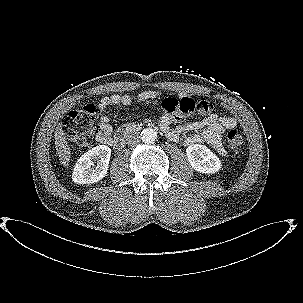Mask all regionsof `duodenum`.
<instances>
[{"instance_id":"duodenum-1","label":"duodenum","mask_w":303,"mask_h":303,"mask_svg":"<svg viewBox=\"0 0 303 303\" xmlns=\"http://www.w3.org/2000/svg\"><path fill=\"white\" fill-rule=\"evenodd\" d=\"M140 127H135V126H129L127 127L124 131H122L118 136L110 139L109 144L111 146H113L115 149H121L124 142H125V138L128 134L133 133V132H138L140 131ZM165 133V135L169 138H175V133L172 131H163Z\"/></svg>"}]
</instances>
